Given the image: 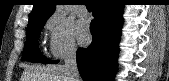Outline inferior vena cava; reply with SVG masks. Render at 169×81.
<instances>
[{
    "mask_svg": "<svg viewBox=\"0 0 169 81\" xmlns=\"http://www.w3.org/2000/svg\"><path fill=\"white\" fill-rule=\"evenodd\" d=\"M76 47L71 45L67 48L64 56V69L70 81H80L76 61Z\"/></svg>",
    "mask_w": 169,
    "mask_h": 81,
    "instance_id": "inferior-vena-cava-1",
    "label": "inferior vena cava"
}]
</instances>
